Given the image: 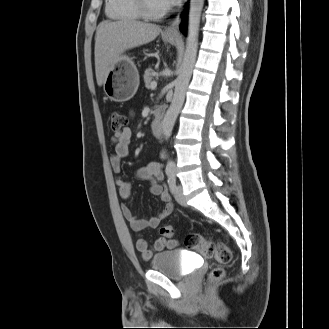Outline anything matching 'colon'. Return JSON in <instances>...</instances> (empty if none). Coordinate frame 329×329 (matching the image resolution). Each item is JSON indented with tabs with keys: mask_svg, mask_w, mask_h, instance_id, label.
Instances as JSON below:
<instances>
[{
	"mask_svg": "<svg viewBox=\"0 0 329 329\" xmlns=\"http://www.w3.org/2000/svg\"><path fill=\"white\" fill-rule=\"evenodd\" d=\"M111 128L114 133H120L127 126V117L119 112L112 111L110 113ZM160 233L165 238H172L176 234V228L173 225H166L160 229ZM185 244L189 249L196 250L202 256L213 257L221 264H227L231 261V251L223 243H212L206 236L199 233H190L185 239ZM225 275L222 267L214 268L209 275L211 281H219Z\"/></svg>",
	"mask_w": 329,
	"mask_h": 329,
	"instance_id": "obj_1",
	"label": "colon"
}]
</instances>
